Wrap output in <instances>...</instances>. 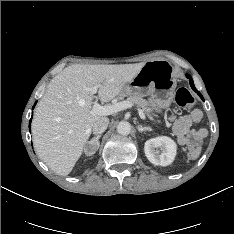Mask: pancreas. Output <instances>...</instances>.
<instances>
[{
  "label": "pancreas",
  "instance_id": "obj_1",
  "mask_svg": "<svg viewBox=\"0 0 234 234\" xmlns=\"http://www.w3.org/2000/svg\"><path fill=\"white\" fill-rule=\"evenodd\" d=\"M126 101L130 102L132 105H136L147 115H151L153 112L150 103L140 96H129Z\"/></svg>",
  "mask_w": 234,
  "mask_h": 234
}]
</instances>
